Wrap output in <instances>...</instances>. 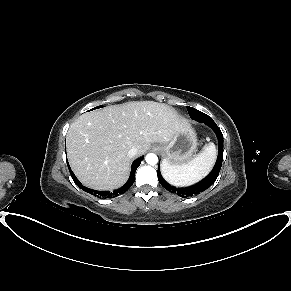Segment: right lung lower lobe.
<instances>
[{
	"label": "right lung lower lobe",
	"instance_id": "obj_1",
	"mask_svg": "<svg viewBox=\"0 0 291 291\" xmlns=\"http://www.w3.org/2000/svg\"><path fill=\"white\" fill-rule=\"evenodd\" d=\"M143 160V157H140L138 158L137 160H135L132 164V167H131V173H130V176H129V179L128 181L121 187V188H118L114 191H95V190H92V189H89L85 186H83L79 180L75 177L74 173L72 172V170L70 169V166L68 164V168H69V171H70V174L74 180V182L85 192L87 193H91V194H96L97 197H100V198H114L116 196H119L123 193H125L131 186L132 184L134 183L135 181V172L137 170V168L139 167L141 161Z\"/></svg>",
	"mask_w": 291,
	"mask_h": 291
}]
</instances>
